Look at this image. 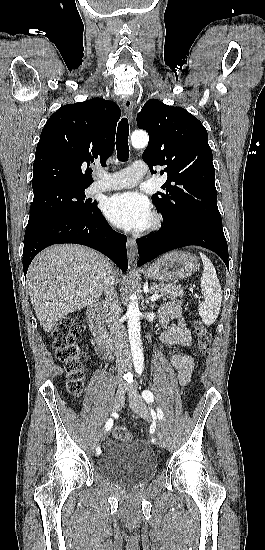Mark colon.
Instances as JSON below:
<instances>
[{
    "mask_svg": "<svg viewBox=\"0 0 265 550\" xmlns=\"http://www.w3.org/2000/svg\"><path fill=\"white\" fill-rule=\"evenodd\" d=\"M194 332L197 339V349L199 354H205L211 343V334L201 323L195 322ZM80 333V327L77 323V316L70 315L61 319L52 332L53 349L57 359L65 364L68 377V391L76 397L81 394L84 386V367L79 357V347L76 340ZM113 437L116 440H128L132 437L131 432L126 427H117L113 431Z\"/></svg>",
    "mask_w": 265,
    "mask_h": 550,
    "instance_id": "5ec220e1",
    "label": "colon"
}]
</instances>
